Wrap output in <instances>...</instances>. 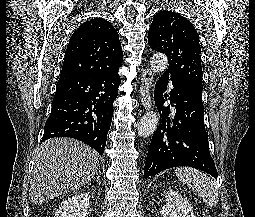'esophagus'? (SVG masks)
Here are the masks:
<instances>
[{
    "label": "esophagus",
    "mask_w": 255,
    "mask_h": 217,
    "mask_svg": "<svg viewBox=\"0 0 255 217\" xmlns=\"http://www.w3.org/2000/svg\"><path fill=\"white\" fill-rule=\"evenodd\" d=\"M153 85V73L149 68L142 72L140 83V100L146 110L152 109V97L150 90Z\"/></svg>",
    "instance_id": "esophagus-1"
}]
</instances>
